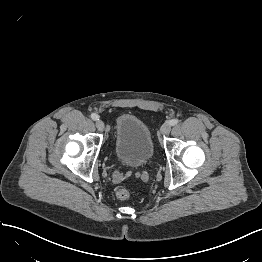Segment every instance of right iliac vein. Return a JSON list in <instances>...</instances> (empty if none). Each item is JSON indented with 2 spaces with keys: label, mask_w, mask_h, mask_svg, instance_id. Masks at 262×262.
<instances>
[{
  "label": "right iliac vein",
  "mask_w": 262,
  "mask_h": 262,
  "mask_svg": "<svg viewBox=\"0 0 262 262\" xmlns=\"http://www.w3.org/2000/svg\"><path fill=\"white\" fill-rule=\"evenodd\" d=\"M96 127H97V129H98L99 131H101V132H103L104 129H105V125H104V123H103L102 120H97V121H96Z\"/></svg>",
  "instance_id": "right-iliac-vein-1"
}]
</instances>
